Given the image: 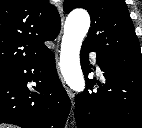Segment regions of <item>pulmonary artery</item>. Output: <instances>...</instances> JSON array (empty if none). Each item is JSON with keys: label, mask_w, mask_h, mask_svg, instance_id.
Segmentation results:
<instances>
[{"label": "pulmonary artery", "mask_w": 142, "mask_h": 128, "mask_svg": "<svg viewBox=\"0 0 142 128\" xmlns=\"http://www.w3.org/2000/svg\"><path fill=\"white\" fill-rule=\"evenodd\" d=\"M91 57L93 58V60H94V62H96V59H95V54H91ZM97 71L99 72V73H101V70H100V68L97 66Z\"/></svg>", "instance_id": "pulmonary-artery-1"}]
</instances>
